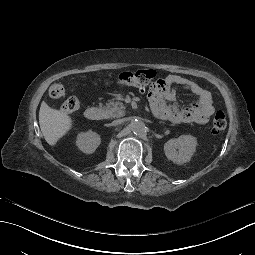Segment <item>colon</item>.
I'll use <instances>...</instances> for the list:
<instances>
[{
  "label": "colon",
  "mask_w": 255,
  "mask_h": 255,
  "mask_svg": "<svg viewBox=\"0 0 255 255\" xmlns=\"http://www.w3.org/2000/svg\"><path fill=\"white\" fill-rule=\"evenodd\" d=\"M156 77L154 70H137L135 72H123L118 75L116 83L120 86H133L138 88H144L148 86ZM155 83H159V80ZM154 83V84H155ZM66 94V88L61 83H55L49 88V95L53 99H59L64 97ZM80 107L79 100L76 97H69L66 99L62 106L61 111L65 114H72L76 112ZM227 120L223 111H217L213 122V132H221L226 128Z\"/></svg>",
  "instance_id": "5ec220e1"
}]
</instances>
